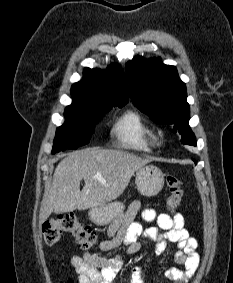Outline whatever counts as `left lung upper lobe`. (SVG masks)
I'll return each instance as SVG.
<instances>
[{
	"label": "left lung upper lobe",
	"instance_id": "1",
	"mask_svg": "<svg viewBox=\"0 0 233 283\" xmlns=\"http://www.w3.org/2000/svg\"><path fill=\"white\" fill-rule=\"evenodd\" d=\"M131 99L135 106L158 124L172 125L181 134L183 144L196 146L189 127L190 110L186 86L174 66L164 65L160 58L135 57L126 64Z\"/></svg>",
	"mask_w": 233,
	"mask_h": 283
}]
</instances>
